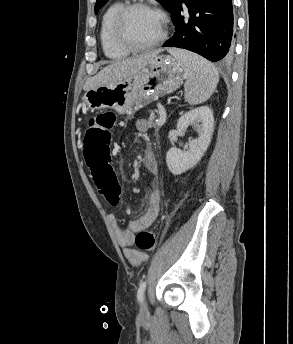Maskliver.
Instances as JSON below:
<instances>
[{
  "mask_svg": "<svg viewBox=\"0 0 293 344\" xmlns=\"http://www.w3.org/2000/svg\"><path fill=\"white\" fill-rule=\"evenodd\" d=\"M159 51L149 52L134 58L117 60L105 66L95 76L89 77L83 89L88 91L105 85H114L142 70Z\"/></svg>",
  "mask_w": 293,
  "mask_h": 344,
  "instance_id": "liver-1",
  "label": "liver"
}]
</instances>
